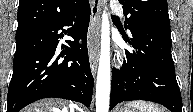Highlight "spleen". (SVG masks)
Instances as JSON below:
<instances>
[{
	"label": "spleen",
	"instance_id": "3e777b00",
	"mask_svg": "<svg viewBox=\"0 0 193 112\" xmlns=\"http://www.w3.org/2000/svg\"><path fill=\"white\" fill-rule=\"evenodd\" d=\"M128 107L137 108L140 112H163L155 104L140 100L129 102Z\"/></svg>",
	"mask_w": 193,
	"mask_h": 112
}]
</instances>
